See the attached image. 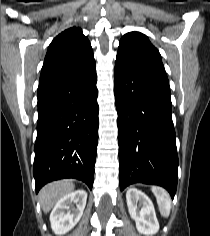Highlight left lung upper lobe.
<instances>
[{"label": "left lung upper lobe", "instance_id": "5c2ea615", "mask_svg": "<svg viewBox=\"0 0 210 236\" xmlns=\"http://www.w3.org/2000/svg\"><path fill=\"white\" fill-rule=\"evenodd\" d=\"M115 65L134 72L167 77L159 51L140 32H130L121 38Z\"/></svg>", "mask_w": 210, "mask_h": 236}]
</instances>
